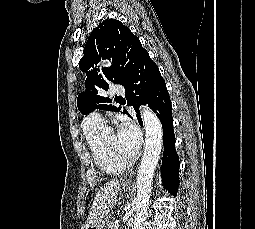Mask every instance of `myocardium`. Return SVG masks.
<instances>
[{
  "label": "myocardium",
  "instance_id": "myocardium-1",
  "mask_svg": "<svg viewBox=\"0 0 255 229\" xmlns=\"http://www.w3.org/2000/svg\"><path fill=\"white\" fill-rule=\"evenodd\" d=\"M102 145L103 148L105 150V152L107 153V155L117 164L123 166V167H129L131 166L135 160H136V155H133L132 157H130L129 159H123L121 157H119L117 154H115L113 151H111L109 149V147L107 146L106 142L104 141V139H102Z\"/></svg>",
  "mask_w": 255,
  "mask_h": 229
}]
</instances>
